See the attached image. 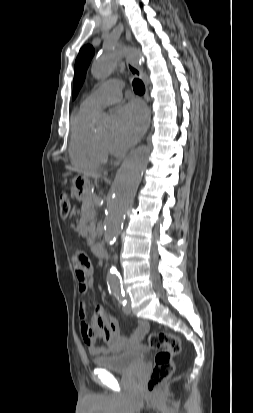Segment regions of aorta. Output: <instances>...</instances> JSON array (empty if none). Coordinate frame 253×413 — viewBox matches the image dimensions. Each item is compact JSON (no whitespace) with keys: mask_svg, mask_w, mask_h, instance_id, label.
I'll return each instance as SVG.
<instances>
[{"mask_svg":"<svg viewBox=\"0 0 253 413\" xmlns=\"http://www.w3.org/2000/svg\"><path fill=\"white\" fill-rule=\"evenodd\" d=\"M122 54H130L139 58L138 51L126 46L105 50L91 68L92 75L98 79L107 78L116 68L117 60ZM110 119L107 115H101L97 120L99 129H109ZM150 150L148 147H140L131 152L123 161L116 175L115 190L107 206V214L103 224V236L106 242L113 244L121 232L124 216L134 201L142 173L149 161ZM108 288L111 291H119L121 282L118 271L111 267L107 275Z\"/></svg>","mask_w":253,"mask_h":413,"instance_id":"762f6f07","label":"aorta"}]
</instances>
